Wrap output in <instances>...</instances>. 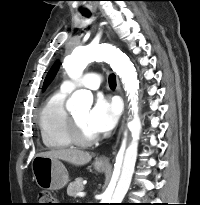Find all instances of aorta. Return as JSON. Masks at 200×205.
Here are the masks:
<instances>
[{
    "label": "aorta",
    "instance_id": "aorta-1",
    "mask_svg": "<svg viewBox=\"0 0 200 205\" xmlns=\"http://www.w3.org/2000/svg\"><path fill=\"white\" fill-rule=\"evenodd\" d=\"M92 61H106L110 64L113 71L120 77L124 90L127 93L128 100H130L131 109L136 114L139 81L137 78L136 69L129 57L120 49L110 44H91L73 49L71 54L64 60V68L71 78H78L82 75V72L86 66ZM92 102L93 96L86 90L76 91L71 98V104L75 108L89 110ZM130 128L132 130V142L125 150L121 175L113 194L109 195L105 193L103 195L101 200L102 204L121 203L129 189L134 172L138 140L141 130L140 121L136 117L130 123ZM124 149L125 142H123L121 150L124 151Z\"/></svg>",
    "mask_w": 200,
    "mask_h": 205
}]
</instances>
